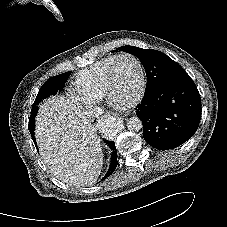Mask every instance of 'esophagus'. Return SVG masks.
I'll return each instance as SVG.
<instances>
[{
    "mask_svg": "<svg viewBox=\"0 0 227 227\" xmlns=\"http://www.w3.org/2000/svg\"><path fill=\"white\" fill-rule=\"evenodd\" d=\"M105 117H115V118H117V119H119V116H118V114H110V113H108V114H106L105 115Z\"/></svg>",
    "mask_w": 227,
    "mask_h": 227,
    "instance_id": "34e87169",
    "label": "esophagus"
}]
</instances>
